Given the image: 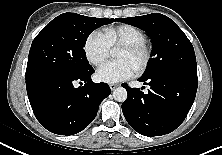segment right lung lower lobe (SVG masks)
Instances as JSON below:
<instances>
[{"mask_svg": "<svg viewBox=\"0 0 222 155\" xmlns=\"http://www.w3.org/2000/svg\"><path fill=\"white\" fill-rule=\"evenodd\" d=\"M93 73L91 67L79 75L49 79L27 90L35 117L47 130L69 136L82 131L94 120L100 102L111 90L106 83L92 82ZM77 82L79 87H76Z\"/></svg>", "mask_w": 222, "mask_h": 155, "instance_id": "1", "label": "right lung lower lobe"}]
</instances>
